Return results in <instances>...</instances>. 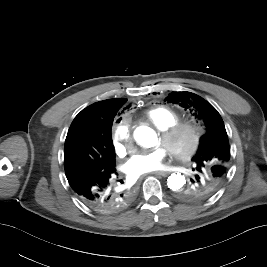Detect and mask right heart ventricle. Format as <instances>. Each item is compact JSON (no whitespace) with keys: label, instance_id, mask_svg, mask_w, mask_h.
Here are the masks:
<instances>
[{"label":"right heart ventricle","instance_id":"e07e8e85","mask_svg":"<svg viewBox=\"0 0 267 267\" xmlns=\"http://www.w3.org/2000/svg\"><path fill=\"white\" fill-rule=\"evenodd\" d=\"M145 119L159 130H163L180 120V114L166 106H158L147 110Z\"/></svg>","mask_w":267,"mask_h":267}]
</instances>
